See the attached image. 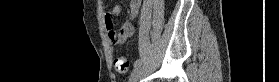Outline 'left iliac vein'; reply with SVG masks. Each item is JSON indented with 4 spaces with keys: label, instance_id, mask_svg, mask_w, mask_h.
Instances as JSON below:
<instances>
[{
    "label": "left iliac vein",
    "instance_id": "1",
    "mask_svg": "<svg viewBox=\"0 0 279 82\" xmlns=\"http://www.w3.org/2000/svg\"><path fill=\"white\" fill-rule=\"evenodd\" d=\"M142 75V69L140 66L134 68L133 72L130 75L129 82H137Z\"/></svg>",
    "mask_w": 279,
    "mask_h": 82
}]
</instances>
